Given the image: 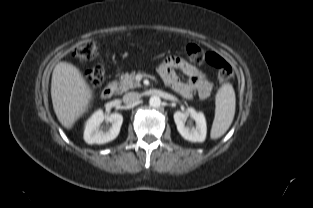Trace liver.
Returning <instances> with one entry per match:
<instances>
[{"mask_svg":"<svg viewBox=\"0 0 313 208\" xmlns=\"http://www.w3.org/2000/svg\"><path fill=\"white\" fill-rule=\"evenodd\" d=\"M51 98L59 122L70 129L88 110L92 90L76 66L59 62L52 73Z\"/></svg>","mask_w":313,"mask_h":208,"instance_id":"1","label":"liver"}]
</instances>
